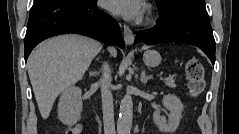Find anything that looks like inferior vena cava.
<instances>
[{
	"label": "inferior vena cava",
	"mask_w": 239,
	"mask_h": 134,
	"mask_svg": "<svg viewBox=\"0 0 239 134\" xmlns=\"http://www.w3.org/2000/svg\"><path fill=\"white\" fill-rule=\"evenodd\" d=\"M100 83H101L104 133L115 134L116 132H115V123H114L113 96L110 90L111 71L107 63L103 65V75L100 80Z\"/></svg>",
	"instance_id": "1"
}]
</instances>
